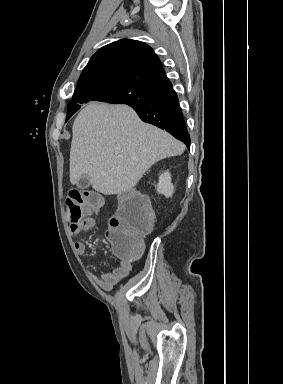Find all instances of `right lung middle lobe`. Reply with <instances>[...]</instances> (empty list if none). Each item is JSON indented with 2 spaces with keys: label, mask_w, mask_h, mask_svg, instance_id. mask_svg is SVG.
Returning <instances> with one entry per match:
<instances>
[{
  "label": "right lung middle lobe",
  "mask_w": 283,
  "mask_h": 384,
  "mask_svg": "<svg viewBox=\"0 0 283 384\" xmlns=\"http://www.w3.org/2000/svg\"><path fill=\"white\" fill-rule=\"evenodd\" d=\"M153 93L120 83H104L75 89L72 100L68 104L66 121L81 108V104L89 101L135 105L147 102L152 98Z\"/></svg>",
  "instance_id": "obj_1"
}]
</instances>
